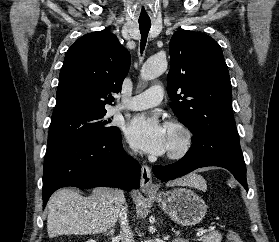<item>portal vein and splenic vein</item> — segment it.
<instances>
[{"label":"portal vein and splenic vein","mask_w":279,"mask_h":242,"mask_svg":"<svg viewBox=\"0 0 279 242\" xmlns=\"http://www.w3.org/2000/svg\"><path fill=\"white\" fill-rule=\"evenodd\" d=\"M204 233H205V230L201 229L196 233V236L201 237L202 235H204Z\"/></svg>","instance_id":"portal-vein-and-splenic-vein-1"}]
</instances>
